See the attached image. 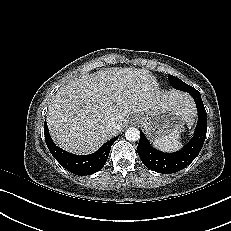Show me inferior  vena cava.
Segmentation results:
<instances>
[{
  "instance_id": "inferior-vena-cava-1",
  "label": "inferior vena cava",
  "mask_w": 231,
  "mask_h": 231,
  "mask_svg": "<svg viewBox=\"0 0 231 231\" xmlns=\"http://www.w3.org/2000/svg\"><path fill=\"white\" fill-rule=\"evenodd\" d=\"M108 129L109 131L116 134L121 131V125L115 121H112L111 123H109Z\"/></svg>"
}]
</instances>
